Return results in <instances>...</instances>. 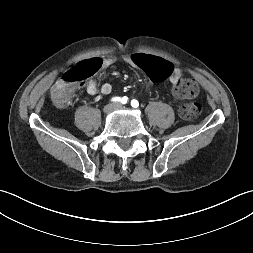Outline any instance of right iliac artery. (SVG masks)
Masks as SVG:
<instances>
[{
	"label": "right iliac artery",
	"mask_w": 253,
	"mask_h": 253,
	"mask_svg": "<svg viewBox=\"0 0 253 253\" xmlns=\"http://www.w3.org/2000/svg\"><path fill=\"white\" fill-rule=\"evenodd\" d=\"M112 101H114V102L118 101V102H120L122 104H126L127 101H128V98L126 96H123V97H114V98H112Z\"/></svg>",
	"instance_id": "obj_1"
}]
</instances>
